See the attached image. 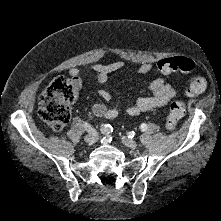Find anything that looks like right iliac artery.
<instances>
[{"mask_svg": "<svg viewBox=\"0 0 221 221\" xmlns=\"http://www.w3.org/2000/svg\"><path fill=\"white\" fill-rule=\"evenodd\" d=\"M83 126H84L85 130L88 133H94L95 132V129L90 124H88L87 122H84ZM100 128H101V133L104 136H107V135L111 134V132H112V127L109 124L104 123V124L101 125Z\"/></svg>", "mask_w": 221, "mask_h": 221, "instance_id": "right-iliac-artery-1", "label": "right iliac artery"}]
</instances>
